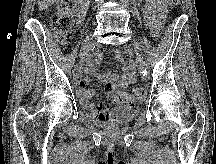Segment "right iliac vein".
<instances>
[{
    "instance_id": "63e3f726",
    "label": "right iliac vein",
    "mask_w": 216,
    "mask_h": 164,
    "mask_svg": "<svg viewBox=\"0 0 216 164\" xmlns=\"http://www.w3.org/2000/svg\"><path fill=\"white\" fill-rule=\"evenodd\" d=\"M91 43H92V38L91 37H88L83 45H82V49H81V53H80V60L81 62L84 60L85 56H86V53H87V50L90 48L91 46ZM76 69H80V67H77Z\"/></svg>"
}]
</instances>
